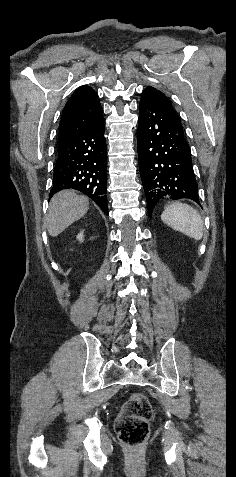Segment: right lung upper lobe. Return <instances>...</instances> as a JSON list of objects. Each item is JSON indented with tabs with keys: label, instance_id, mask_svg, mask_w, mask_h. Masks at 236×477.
Wrapping results in <instances>:
<instances>
[{
	"label": "right lung upper lobe",
	"instance_id": "right-lung-upper-lobe-1",
	"mask_svg": "<svg viewBox=\"0 0 236 477\" xmlns=\"http://www.w3.org/2000/svg\"><path fill=\"white\" fill-rule=\"evenodd\" d=\"M102 117V108L95 91L89 86L78 88L66 103L59 124L58 146H62Z\"/></svg>",
	"mask_w": 236,
	"mask_h": 477
}]
</instances>
